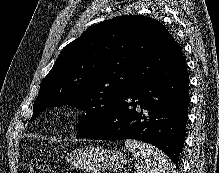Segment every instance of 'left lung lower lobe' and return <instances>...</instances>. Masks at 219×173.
Wrapping results in <instances>:
<instances>
[{"label":"left lung lower lobe","instance_id":"obj_1","mask_svg":"<svg viewBox=\"0 0 219 173\" xmlns=\"http://www.w3.org/2000/svg\"><path fill=\"white\" fill-rule=\"evenodd\" d=\"M132 82L107 120L78 138L141 140L178 165L186 135L189 77L182 48L171 34L135 67Z\"/></svg>","mask_w":219,"mask_h":173}]
</instances>
